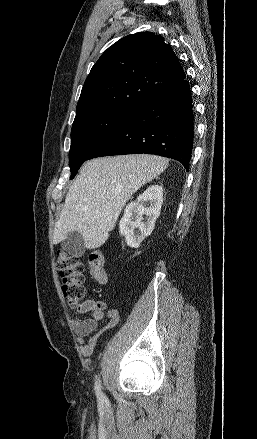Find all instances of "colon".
<instances>
[{"label":"colon","instance_id":"obj_1","mask_svg":"<svg viewBox=\"0 0 257 439\" xmlns=\"http://www.w3.org/2000/svg\"><path fill=\"white\" fill-rule=\"evenodd\" d=\"M89 266L94 278L104 283L106 273L104 270V257L100 251L89 255ZM56 266L62 276V292L70 306L79 305L85 296L83 264L79 259L64 251L57 253Z\"/></svg>","mask_w":257,"mask_h":439}]
</instances>
